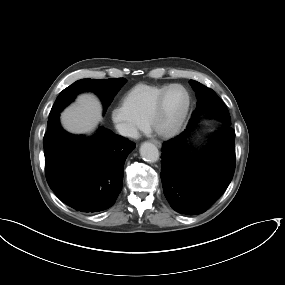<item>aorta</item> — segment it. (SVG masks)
Segmentation results:
<instances>
[{
  "mask_svg": "<svg viewBox=\"0 0 285 285\" xmlns=\"http://www.w3.org/2000/svg\"><path fill=\"white\" fill-rule=\"evenodd\" d=\"M139 151H140V156L146 162L154 163L159 159V150L151 142L142 143Z\"/></svg>",
  "mask_w": 285,
  "mask_h": 285,
  "instance_id": "1",
  "label": "aorta"
}]
</instances>
